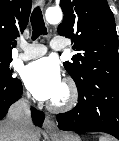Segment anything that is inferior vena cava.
<instances>
[{
	"instance_id": "inferior-vena-cava-1",
	"label": "inferior vena cava",
	"mask_w": 119,
	"mask_h": 141,
	"mask_svg": "<svg viewBox=\"0 0 119 141\" xmlns=\"http://www.w3.org/2000/svg\"><path fill=\"white\" fill-rule=\"evenodd\" d=\"M7 118L14 125L21 138L28 137L31 128L33 127L28 100L20 99L12 104L8 110Z\"/></svg>"
}]
</instances>
